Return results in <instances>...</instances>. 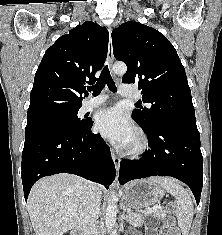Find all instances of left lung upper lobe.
Segmentation results:
<instances>
[{
	"instance_id": "5c2ea615",
	"label": "left lung upper lobe",
	"mask_w": 222,
	"mask_h": 235,
	"mask_svg": "<svg viewBox=\"0 0 222 235\" xmlns=\"http://www.w3.org/2000/svg\"><path fill=\"white\" fill-rule=\"evenodd\" d=\"M113 53L124 61L123 83L138 85L151 107L135 109L132 118L142 127L177 124L197 129L185 69L173 45L154 28L129 21L112 31Z\"/></svg>"
}]
</instances>
